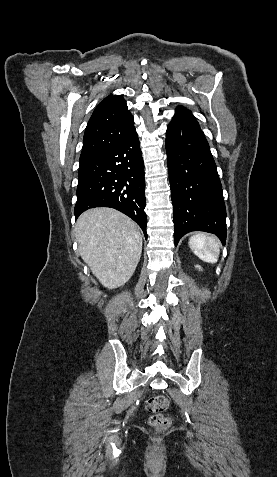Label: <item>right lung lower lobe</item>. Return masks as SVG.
I'll use <instances>...</instances> for the list:
<instances>
[{"instance_id": "right-lung-lower-lobe-1", "label": "right lung lower lobe", "mask_w": 277, "mask_h": 477, "mask_svg": "<svg viewBox=\"0 0 277 477\" xmlns=\"http://www.w3.org/2000/svg\"><path fill=\"white\" fill-rule=\"evenodd\" d=\"M144 163L136 129L111 148L80 160L75 217L111 207L132 218L147 238Z\"/></svg>"}]
</instances>
